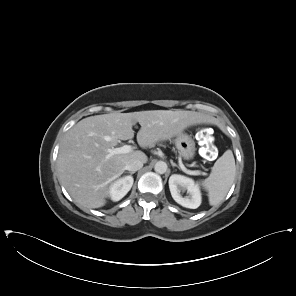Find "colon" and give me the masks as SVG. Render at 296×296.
<instances>
[{
	"label": "colon",
	"instance_id": "1",
	"mask_svg": "<svg viewBox=\"0 0 296 296\" xmlns=\"http://www.w3.org/2000/svg\"><path fill=\"white\" fill-rule=\"evenodd\" d=\"M197 137L202 145L201 154L205 159H213L217 150L213 142V137L206 128H199L197 130Z\"/></svg>",
	"mask_w": 296,
	"mask_h": 296
}]
</instances>
